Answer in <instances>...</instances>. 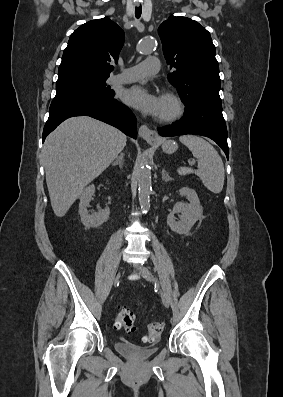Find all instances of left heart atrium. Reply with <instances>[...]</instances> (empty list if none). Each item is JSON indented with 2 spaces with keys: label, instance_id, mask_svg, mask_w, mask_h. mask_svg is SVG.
<instances>
[{
  "label": "left heart atrium",
  "instance_id": "1",
  "mask_svg": "<svg viewBox=\"0 0 283 397\" xmlns=\"http://www.w3.org/2000/svg\"><path fill=\"white\" fill-rule=\"evenodd\" d=\"M122 100L146 115L159 116L161 111V98L140 85L125 89Z\"/></svg>",
  "mask_w": 283,
  "mask_h": 397
}]
</instances>
